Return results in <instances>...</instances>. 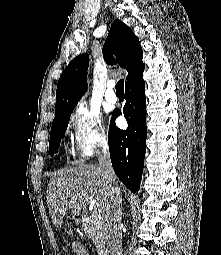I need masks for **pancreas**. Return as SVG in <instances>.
Returning <instances> with one entry per match:
<instances>
[{"instance_id":"pancreas-1","label":"pancreas","mask_w":221,"mask_h":255,"mask_svg":"<svg viewBox=\"0 0 221 255\" xmlns=\"http://www.w3.org/2000/svg\"><path fill=\"white\" fill-rule=\"evenodd\" d=\"M104 221L99 213L93 212L82 223L85 233L93 240L98 249L102 248V229Z\"/></svg>"}]
</instances>
